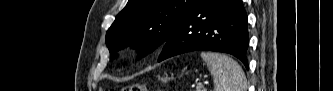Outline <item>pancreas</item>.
Masks as SVG:
<instances>
[{
	"mask_svg": "<svg viewBox=\"0 0 333 91\" xmlns=\"http://www.w3.org/2000/svg\"><path fill=\"white\" fill-rule=\"evenodd\" d=\"M196 91H205V90L197 89Z\"/></svg>",
	"mask_w": 333,
	"mask_h": 91,
	"instance_id": "1",
	"label": "pancreas"
}]
</instances>
